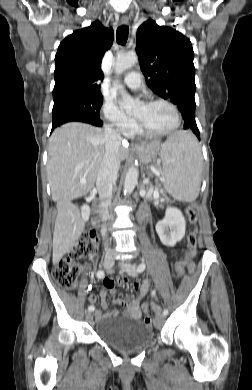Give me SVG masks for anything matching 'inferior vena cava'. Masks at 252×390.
Masks as SVG:
<instances>
[{"label": "inferior vena cava", "mask_w": 252, "mask_h": 390, "mask_svg": "<svg viewBox=\"0 0 252 390\" xmlns=\"http://www.w3.org/2000/svg\"><path fill=\"white\" fill-rule=\"evenodd\" d=\"M105 135L107 139L105 154L98 171L96 187L100 199V208L104 214H107L112 199L113 185L117 180L120 168L119 148L122 138L110 126L105 127ZM102 235L105 237L106 229L102 230Z\"/></svg>", "instance_id": "602c4592"}]
</instances>
